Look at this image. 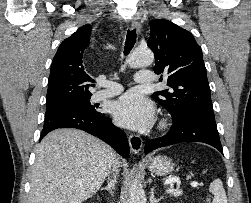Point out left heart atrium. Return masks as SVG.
Instances as JSON below:
<instances>
[{"instance_id":"1","label":"left heart atrium","mask_w":251,"mask_h":203,"mask_svg":"<svg viewBox=\"0 0 251 203\" xmlns=\"http://www.w3.org/2000/svg\"><path fill=\"white\" fill-rule=\"evenodd\" d=\"M116 121L131 129H144L153 120L152 104L138 91H129L114 104Z\"/></svg>"}]
</instances>
